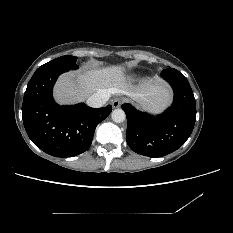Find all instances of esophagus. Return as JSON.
I'll return each mask as SVG.
<instances>
[{
	"mask_svg": "<svg viewBox=\"0 0 233 233\" xmlns=\"http://www.w3.org/2000/svg\"><path fill=\"white\" fill-rule=\"evenodd\" d=\"M122 103H123V100L121 98H115L112 102V107L118 108L121 106Z\"/></svg>",
	"mask_w": 233,
	"mask_h": 233,
	"instance_id": "1",
	"label": "esophagus"
}]
</instances>
